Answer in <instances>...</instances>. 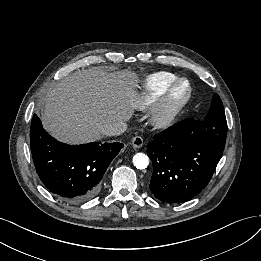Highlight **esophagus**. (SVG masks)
Instances as JSON below:
<instances>
[{
  "mask_svg": "<svg viewBox=\"0 0 261 261\" xmlns=\"http://www.w3.org/2000/svg\"><path fill=\"white\" fill-rule=\"evenodd\" d=\"M131 144L134 148H140L143 145L142 137L134 136L131 140Z\"/></svg>",
  "mask_w": 261,
  "mask_h": 261,
  "instance_id": "1",
  "label": "esophagus"
}]
</instances>
